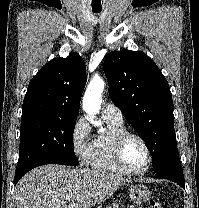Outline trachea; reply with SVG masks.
Returning a JSON list of instances; mask_svg holds the SVG:
<instances>
[{"label":"trachea","instance_id":"trachea-1","mask_svg":"<svg viewBox=\"0 0 199 208\" xmlns=\"http://www.w3.org/2000/svg\"><path fill=\"white\" fill-rule=\"evenodd\" d=\"M93 12L94 13H99V12H101V9H93Z\"/></svg>","mask_w":199,"mask_h":208}]
</instances>
